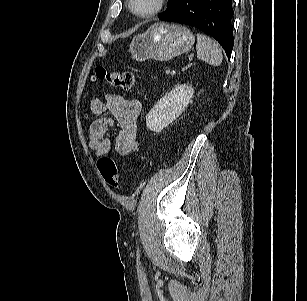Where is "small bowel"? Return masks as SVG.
<instances>
[{
	"label": "small bowel",
	"instance_id": "obj_1",
	"mask_svg": "<svg viewBox=\"0 0 307 301\" xmlns=\"http://www.w3.org/2000/svg\"><path fill=\"white\" fill-rule=\"evenodd\" d=\"M93 114L100 116L90 127L89 145L97 156H107L111 152L112 140L109 128L119 127L114 139L116 151L127 156L137 150L138 117L141 103L138 99H127L120 94H110L105 99L94 98L90 104Z\"/></svg>",
	"mask_w": 307,
	"mask_h": 301
}]
</instances>
